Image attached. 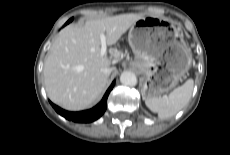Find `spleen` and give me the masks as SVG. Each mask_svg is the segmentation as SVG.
<instances>
[{
	"label": "spleen",
	"instance_id": "obj_1",
	"mask_svg": "<svg viewBox=\"0 0 230 155\" xmlns=\"http://www.w3.org/2000/svg\"><path fill=\"white\" fill-rule=\"evenodd\" d=\"M194 87L193 79H188L182 86L174 89L170 94L160 97L147 98L146 106L159 118L167 119L182 110L190 101Z\"/></svg>",
	"mask_w": 230,
	"mask_h": 155
}]
</instances>
